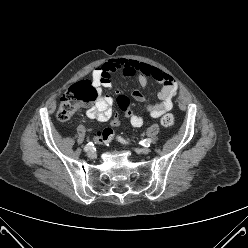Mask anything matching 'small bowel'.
<instances>
[{"label":"small bowel","instance_id":"1","mask_svg":"<svg viewBox=\"0 0 248 248\" xmlns=\"http://www.w3.org/2000/svg\"><path fill=\"white\" fill-rule=\"evenodd\" d=\"M116 74H122L127 77H135L139 85L147 88L150 80H154L161 84L158 93L159 103L147 104L146 112L149 117L157 119L173 107V100L178 92V83L176 79L169 73L158 67L134 60L127 59H111L98 66L92 73L93 84L100 89L101 86L112 87V77ZM133 98L139 102H145L146 97L140 90H134ZM113 100L109 96L99 93L96 102L89 107L86 115L90 119L99 122H105L112 115ZM145 116L142 114H133L130 123L134 127H141L144 124Z\"/></svg>","mask_w":248,"mask_h":248}]
</instances>
